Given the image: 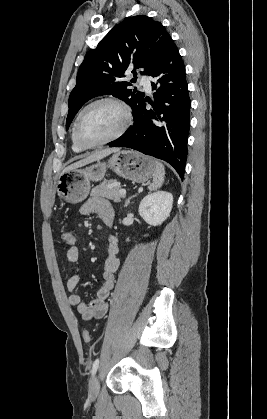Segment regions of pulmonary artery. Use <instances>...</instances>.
<instances>
[{"mask_svg": "<svg viewBox=\"0 0 267 419\" xmlns=\"http://www.w3.org/2000/svg\"><path fill=\"white\" fill-rule=\"evenodd\" d=\"M139 83H140V85H142L144 87V89L146 91H148V92L151 91V87H152L151 86V80L148 76H146V75L141 76L140 80H139Z\"/></svg>", "mask_w": 267, "mask_h": 419, "instance_id": "1", "label": "pulmonary artery"}]
</instances>
